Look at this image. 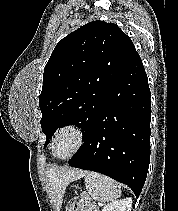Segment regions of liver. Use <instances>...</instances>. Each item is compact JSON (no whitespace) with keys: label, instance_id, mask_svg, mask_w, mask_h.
Masks as SVG:
<instances>
[{"label":"liver","instance_id":"liver-1","mask_svg":"<svg viewBox=\"0 0 178 211\" xmlns=\"http://www.w3.org/2000/svg\"><path fill=\"white\" fill-rule=\"evenodd\" d=\"M47 189L55 210L60 211L66 187L83 177L84 171L68 167L53 166L47 169L46 173Z\"/></svg>","mask_w":178,"mask_h":211}]
</instances>
